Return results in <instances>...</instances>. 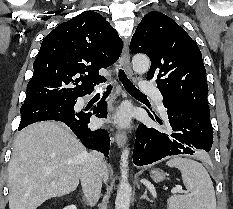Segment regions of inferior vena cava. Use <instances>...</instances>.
Instances as JSON below:
<instances>
[{
    "mask_svg": "<svg viewBox=\"0 0 233 209\" xmlns=\"http://www.w3.org/2000/svg\"><path fill=\"white\" fill-rule=\"evenodd\" d=\"M105 165L103 155L98 151L88 154L82 169L81 185L84 197L90 206L99 200L102 187V168Z\"/></svg>",
    "mask_w": 233,
    "mask_h": 209,
    "instance_id": "602c4592",
    "label": "inferior vena cava"
}]
</instances>
